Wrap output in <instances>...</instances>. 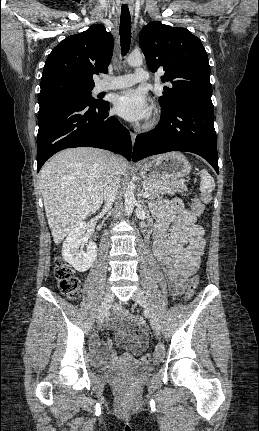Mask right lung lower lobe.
Masks as SVG:
<instances>
[{
  "label": "right lung lower lobe",
  "mask_w": 259,
  "mask_h": 431,
  "mask_svg": "<svg viewBox=\"0 0 259 431\" xmlns=\"http://www.w3.org/2000/svg\"><path fill=\"white\" fill-rule=\"evenodd\" d=\"M109 103L56 99L40 105L38 112L37 171L56 152L73 147H96L131 159L129 131L109 116Z\"/></svg>",
  "instance_id": "1"
}]
</instances>
